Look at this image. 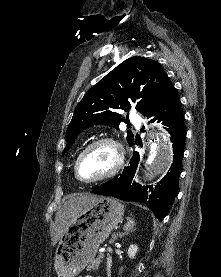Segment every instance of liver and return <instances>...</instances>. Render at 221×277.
<instances>
[{
  "mask_svg": "<svg viewBox=\"0 0 221 277\" xmlns=\"http://www.w3.org/2000/svg\"><path fill=\"white\" fill-rule=\"evenodd\" d=\"M99 196L91 194H81L77 197L69 199L63 207L58 210L55 216V229L52 234V245L54 246L58 240L67 231L70 222L77 216L80 210L96 202Z\"/></svg>",
  "mask_w": 221,
  "mask_h": 277,
  "instance_id": "liver-1",
  "label": "liver"
}]
</instances>
